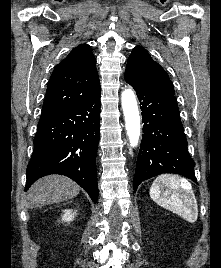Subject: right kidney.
I'll use <instances>...</instances> for the list:
<instances>
[{
  "mask_svg": "<svg viewBox=\"0 0 221 268\" xmlns=\"http://www.w3.org/2000/svg\"><path fill=\"white\" fill-rule=\"evenodd\" d=\"M75 212L72 210H64V214L62 215V221L70 222L74 219Z\"/></svg>",
  "mask_w": 221,
  "mask_h": 268,
  "instance_id": "ca27d5eb",
  "label": "right kidney"
}]
</instances>
